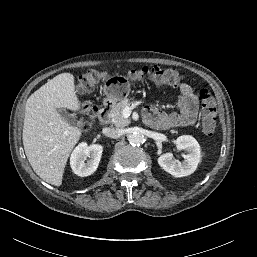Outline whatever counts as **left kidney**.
<instances>
[{
	"instance_id": "5707ae66",
	"label": "left kidney",
	"mask_w": 257,
	"mask_h": 257,
	"mask_svg": "<svg viewBox=\"0 0 257 257\" xmlns=\"http://www.w3.org/2000/svg\"><path fill=\"white\" fill-rule=\"evenodd\" d=\"M176 148L179 151H187V154L183 155V162L173 160L172 153H165L158 158V164L174 177H184L192 174L201 161V149L199 143L192 136L183 135L177 138Z\"/></svg>"
}]
</instances>
